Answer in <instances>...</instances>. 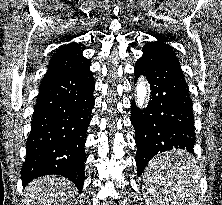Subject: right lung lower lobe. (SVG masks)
<instances>
[{
    "label": "right lung lower lobe",
    "mask_w": 222,
    "mask_h": 205,
    "mask_svg": "<svg viewBox=\"0 0 222 205\" xmlns=\"http://www.w3.org/2000/svg\"><path fill=\"white\" fill-rule=\"evenodd\" d=\"M94 89L89 67L42 79L21 169L24 186L37 177L57 174L82 190Z\"/></svg>",
    "instance_id": "obj_1"
}]
</instances>
